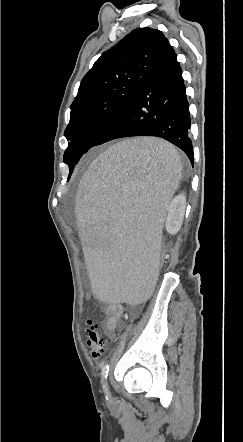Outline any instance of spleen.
Returning a JSON list of instances; mask_svg holds the SVG:
<instances>
[{"instance_id":"3e777b00","label":"spleen","mask_w":243,"mask_h":442,"mask_svg":"<svg viewBox=\"0 0 243 442\" xmlns=\"http://www.w3.org/2000/svg\"><path fill=\"white\" fill-rule=\"evenodd\" d=\"M181 177L171 144L138 138L109 148L80 179L74 224L81 226V256L100 302L143 307L151 296L162 226Z\"/></svg>"}]
</instances>
